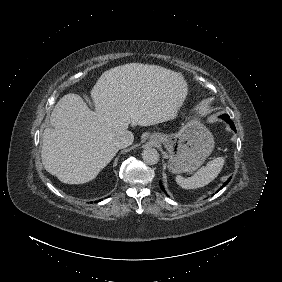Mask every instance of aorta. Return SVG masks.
<instances>
[{
	"instance_id": "762f6f07",
	"label": "aorta",
	"mask_w": 282,
	"mask_h": 282,
	"mask_svg": "<svg viewBox=\"0 0 282 282\" xmlns=\"http://www.w3.org/2000/svg\"><path fill=\"white\" fill-rule=\"evenodd\" d=\"M142 159L146 164L149 165H154L158 162L159 160V153L156 149L152 148V147H146L143 151H142Z\"/></svg>"
}]
</instances>
